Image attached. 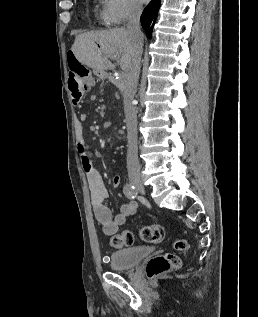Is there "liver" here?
Returning a JSON list of instances; mask_svg holds the SVG:
<instances>
[{"label": "liver", "mask_w": 258, "mask_h": 317, "mask_svg": "<svg viewBox=\"0 0 258 317\" xmlns=\"http://www.w3.org/2000/svg\"><path fill=\"white\" fill-rule=\"evenodd\" d=\"M75 58L94 70H113L111 54H122L120 66L128 70L134 54L131 34L125 28L89 30L77 34L71 48Z\"/></svg>", "instance_id": "obj_1"}]
</instances>
